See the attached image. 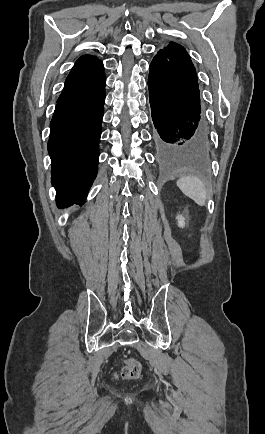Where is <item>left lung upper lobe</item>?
Segmentation results:
<instances>
[{"label": "left lung upper lobe", "instance_id": "1", "mask_svg": "<svg viewBox=\"0 0 265 434\" xmlns=\"http://www.w3.org/2000/svg\"><path fill=\"white\" fill-rule=\"evenodd\" d=\"M157 54L167 57L169 60L174 62L183 72L188 76V78L197 86L198 79L196 74V69L191 61L185 48L177 43H169L168 46L161 49Z\"/></svg>", "mask_w": 265, "mask_h": 434}]
</instances>
